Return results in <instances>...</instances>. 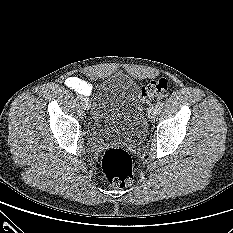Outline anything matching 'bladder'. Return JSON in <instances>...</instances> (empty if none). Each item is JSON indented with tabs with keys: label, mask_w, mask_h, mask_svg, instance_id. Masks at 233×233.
<instances>
[{
	"label": "bladder",
	"mask_w": 233,
	"mask_h": 233,
	"mask_svg": "<svg viewBox=\"0 0 233 233\" xmlns=\"http://www.w3.org/2000/svg\"><path fill=\"white\" fill-rule=\"evenodd\" d=\"M144 105L139 85L128 75L115 74L99 87L89 129L97 144H138L144 136Z\"/></svg>",
	"instance_id": "bladder-1"
}]
</instances>
